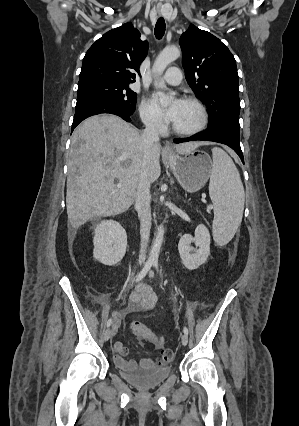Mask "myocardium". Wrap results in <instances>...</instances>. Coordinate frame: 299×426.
Segmentation results:
<instances>
[{
  "label": "myocardium",
  "mask_w": 299,
  "mask_h": 426,
  "mask_svg": "<svg viewBox=\"0 0 299 426\" xmlns=\"http://www.w3.org/2000/svg\"><path fill=\"white\" fill-rule=\"evenodd\" d=\"M182 101L191 103L197 107L200 113V121L195 127L191 129H179L173 124L172 125L173 132L182 136H193L202 132L209 123V114L206 107L198 98L194 96H186L183 98Z\"/></svg>",
  "instance_id": "1"
}]
</instances>
